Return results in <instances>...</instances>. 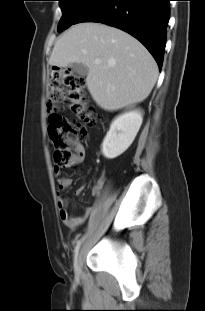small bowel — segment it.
<instances>
[{
  "instance_id": "1",
  "label": "small bowel",
  "mask_w": 205,
  "mask_h": 311,
  "mask_svg": "<svg viewBox=\"0 0 205 311\" xmlns=\"http://www.w3.org/2000/svg\"><path fill=\"white\" fill-rule=\"evenodd\" d=\"M86 157V151L82 145H80L75 151L71 158V160L64 166V168H75L80 166ZM60 168H55L56 173H60ZM103 179H99L98 184L93 187L92 189V195L97 196L99 194L100 185L102 184ZM72 180L69 177L61 176L58 179V188L59 192L67 190L71 186ZM83 190V187H80L77 190V193H81ZM58 205H59V216L63 224L70 228V229H76L81 224H83L91 215L93 208L92 207H86L81 214L78 215H72L69 213L67 209V203L65 199L59 198L58 199Z\"/></svg>"
}]
</instances>
